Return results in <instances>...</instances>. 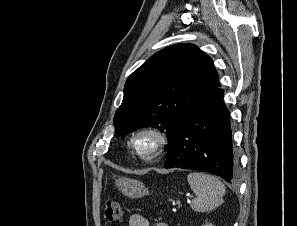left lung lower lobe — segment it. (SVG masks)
Returning a JSON list of instances; mask_svg holds the SVG:
<instances>
[{"label": "left lung lower lobe", "instance_id": "0a47b994", "mask_svg": "<svg viewBox=\"0 0 297 226\" xmlns=\"http://www.w3.org/2000/svg\"><path fill=\"white\" fill-rule=\"evenodd\" d=\"M164 167L202 170L235 181L237 159L223 90L216 88L204 95L183 120Z\"/></svg>", "mask_w": 297, "mask_h": 226}]
</instances>
